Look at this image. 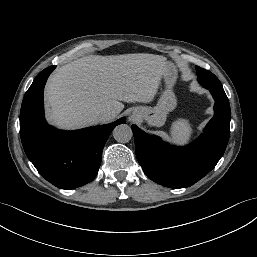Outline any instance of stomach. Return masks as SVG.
Listing matches in <instances>:
<instances>
[{
  "mask_svg": "<svg viewBox=\"0 0 257 257\" xmlns=\"http://www.w3.org/2000/svg\"><path fill=\"white\" fill-rule=\"evenodd\" d=\"M177 80L176 69L168 63L167 70L163 75L165 90L161 93L158 103L154 107H136L133 115L139 116L150 126L160 127L164 125L167 114L175 109L177 99L173 92V87Z\"/></svg>",
  "mask_w": 257,
  "mask_h": 257,
  "instance_id": "obj_1",
  "label": "stomach"
}]
</instances>
